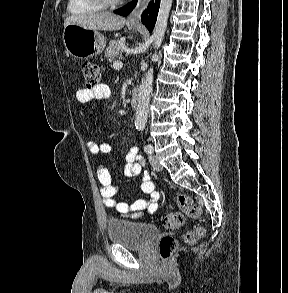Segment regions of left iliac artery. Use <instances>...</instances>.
Instances as JSON below:
<instances>
[{
	"instance_id": "1",
	"label": "left iliac artery",
	"mask_w": 288,
	"mask_h": 293,
	"mask_svg": "<svg viewBox=\"0 0 288 293\" xmlns=\"http://www.w3.org/2000/svg\"><path fill=\"white\" fill-rule=\"evenodd\" d=\"M144 151L148 154H152L153 153V146L150 144H147L144 146Z\"/></svg>"
}]
</instances>
